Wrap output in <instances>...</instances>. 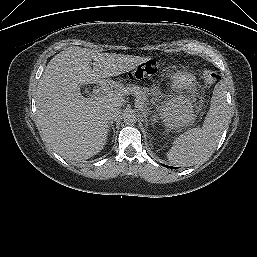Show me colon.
Instances as JSON below:
<instances>
[{
	"mask_svg": "<svg viewBox=\"0 0 257 257\" xmlns=\"http://www.w3.org/2000/svg\"><path fill=\"white\" fill-rule=\"evenodd\" d=\"M157 62L150 60L140 64L136 69L129 73L130 79H143L155 75L158 72ZM204 82L206 85H213L220 80V75L213 71L207 70L204 73Z\"/></svg>",
	"mask_w": 257,
	"mask_h": 257,
	"instance_id": "5ec220e1",
	"label": "colon"
}]
</instances>
